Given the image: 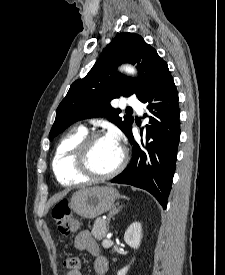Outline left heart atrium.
Here are the masks:
<instances>
[{
  "label": "left heart atrium",
  "mask_w": 225,
  "mask_h": 275,
  "mask_svg": "<svg viewBox=\"0 0 225 275\" xmlns=\"http://www.w3.org/2000/svg\"><path fill=\"white\" fill-rule=\"evenodd\" d=\"M106 137L113 143L120 146V134L116 129H111Z\"/></svg>",
  "instance_id": "1"
}]
</instances>
